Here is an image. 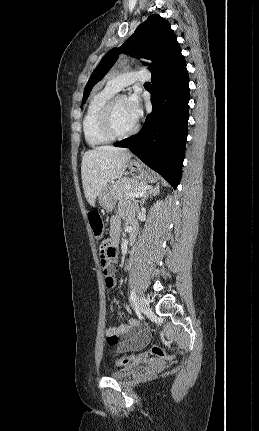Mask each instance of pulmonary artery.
I'll list each match as a JSON object with an SVG mask.
<instances>
[{"mask_svg": "<svg viewBox=\"0 0 259 431\" xmlns=\"http://www.w3.org/2000/svg\"><path fill=\"white\" fill-rule=\"evenodd\" d=\"M149 79L150 75L147 70L130 71L110 77L107 81V87L118 92L133 82H147Z\"/></svg>", "mask_w": 259, "mask_h": 431, "instance_id": "obj_1", "label": "pulmonary artery"}]
</instances>
